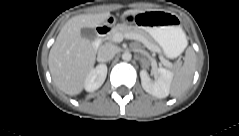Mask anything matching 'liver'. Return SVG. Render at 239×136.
<instances>
[{
	"mask_svg": "<svg viewBox=\"0 0 239 136\" xmlns=\"http://www.w3.org/2000/svg\"><path fill=\"white\" fill-rule=\"evenodd\" d=\"M140 12L128 10L124 15ZM109 17V12L78 15L69 19L59 32L50 49L48 65L55 85L65 94H80L95 64L96 51L91 42L81 36V29L97 27Z\"/></svg>",
	"mask_w": 239,
	"mask_h": 136,
	"instance_id": "liver-1",
	"label": "liver"
}]
</instances>
